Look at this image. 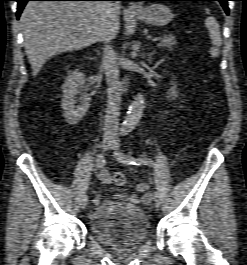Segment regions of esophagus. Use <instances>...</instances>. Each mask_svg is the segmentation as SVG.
<instances>
[{
    "mask_svg": "<svg viewBox=\"0 0 247 265\" xmlns=\"http://www.w3.org/2000/svg\"><path fill=\"white\" fill-rule=\"evenodd\" d=\"M141 6L138 3L132 2L129 5V10L130 11H139Z\"/></svg>",
    "mask_w": 247,
    "mask_h": 265,
    "instance_id": "34e87169",
    "label": "esophagus"
}]
</instances>
